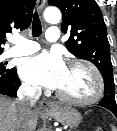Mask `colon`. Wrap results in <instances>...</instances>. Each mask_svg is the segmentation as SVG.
<instances>
[{"mask_svg":"<svg viewBox=\"0 0 117 131\" xmlns=\"http://www.w3.org/2000/svg\"><path fill=\"white\" fill-rule=\"evenodd\" d=\"M96 131H108L105 127H97Z\"/></svg>","mask_w":117,"mask_h":131,"instance_id":"5ec220e1","label":"colon"}]
</instances>
